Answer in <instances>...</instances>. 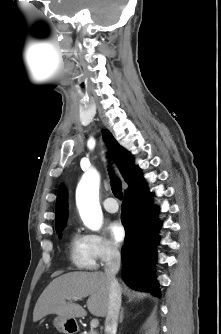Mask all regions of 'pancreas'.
Instances as JSON below:
<instances>
[{
  "instance_id": "pancreas-1",
  "label": "pancreas",
  "mask_w": 221,
  "mask_h": 334,
  "mask_svg": "<svg viewBox=\"0 0 221 334\" xmlns=\"http://www.w3.org/2000/svg\"><path fill=\"white\" fill-rule=\"evenodd\" d=\"M83 334V333H81ZM87 334H97V332L95 330H90Z\"/></svg>"
}]
</instances>
